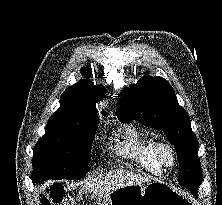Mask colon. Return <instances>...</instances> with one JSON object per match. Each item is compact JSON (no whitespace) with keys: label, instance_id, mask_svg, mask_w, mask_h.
<instances>
[{"label":"colon","instance_id":"colon-1","mask_svg":"<svg viewBox=\"0 0 222 205\" xmlns=\"http://www.w3.org/2000/svg\"><path fill=\"white\" fill-rule=\"evenodd\" d=\"M41 205H66L64 191L61 186H50L42 198Z\"/></svg>","mask_w":222,"mask_h":205}]
</instances>
